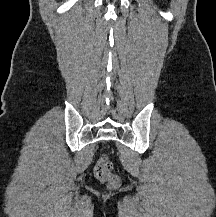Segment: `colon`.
I'll return each mask as SVG.
<instances>
[{
  "label": "colon",
  "mask_w": 216,
  "mask_h": 217,
  "mask_svg": "<svg viewBox=\"0 0 216 217\" xmlns=\"http://www.w3.org/2000/svg\"><path fill=\"white\" fill-rule=\"evenodd\" d=\"M95 177L102 183L110 187H117L119 185V177L112 172V165L106 154H102L98 159L95 169Z\"/></svg>",
  "instance_id": "5ec220e1"
}]
</instances>
